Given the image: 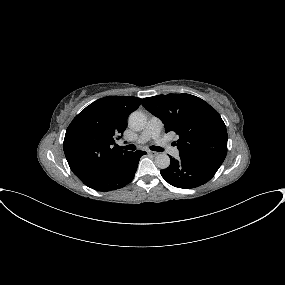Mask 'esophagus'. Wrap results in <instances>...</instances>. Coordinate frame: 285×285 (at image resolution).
I'll return each instance as SVG.
<instances>
[{
	"mask_svg": "<svg viewBox=\"0 0 285 285\" xmlns=\"http://www.w3.org/2000/svg\"><path fill=\"white\" fill-rule=\"evenodd\" d=\"M148 154L151 156H156L158 153L154 151H148Z\"/></svg>",
	"mask_w": 285,
	"mask_h": 285,
	"instance_id": "34e87169",
	"label": "esophagus"
}]
</instances>
